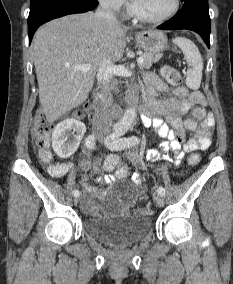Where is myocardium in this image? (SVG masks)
<instances>
[{
  "label": "myocardium",
  "mask_w": 233,
  "mask_h": 284,
  "mask_svg": "<svg viewBox=\"0 0 233 284\" xmlns=\"http://www.w3.org/2000/svg\"><path fill=\"white\" fill-rule=\"evenodd\" d=\"M179 8H180V0H172V5L166 13H164L163 15L158 16V17H149V16L143 15L140 12H138L135 9L132 0H129V3H128L129 13L133 17H135L136 19H138L142 22H146V23H162V22H165L168 19H170L171 17H173L178 12Z\"/></svg>",
  "instance_id": "1"
}]
</instances>
